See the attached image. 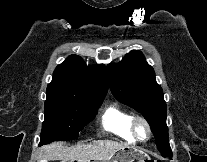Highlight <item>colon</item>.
<instances>
[{
    "mask_svg": "<svg viewBox=\"0 0 207 162\" xmlns=\"http://www.w3.org/2000/svg\"><path fill=\"white\" fill-rule=\"evenodd\" d=\"M74 162H78V161H74ZM144 162H162V161H160V160H146Z\"/></svg>",
    "mask_w": 207,
    "mask_h": 162,
    "instance_id": "5ec220e1",
    "label": "colon"
}]
</instances>
